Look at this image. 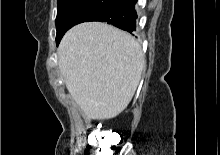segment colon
Wrapping results in <instances>:
<instances>
[{"mask_svg": "<svg viewBox=\"0 0 220 155\" xmlns=\"http://www.w3.org/2000/svg\"><path fill=\"white\" fill-rule=\"evenodd\" d=\"M99 143H93V146H89V151H98L94 155H112L113 141L112 137L106 133H102L97 136Z\"/></svg>", "mask_w": 220, "mask_h": 155, "instance_id": "obj_1", "label": "colon"}]
</instances>
